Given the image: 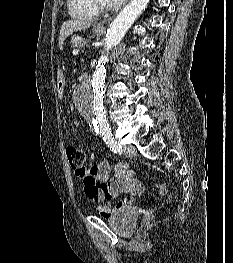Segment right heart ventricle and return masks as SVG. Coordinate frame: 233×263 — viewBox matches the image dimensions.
<instances>
[{"label":"right heart ventricle","mask_w":233,"mask_h":263,"mask_svg":"<svg viewBox=\"0 0 233 263\" xmlns=\"http://www.w3.org/2000/svg\"><path fill=\"white\" fill-rule=\"evenodd\" d=\"M68 8L72 16L85 20H93L101 12L98 0H68Z\"/></svg>","instance_id":"1"}]
</instances>
